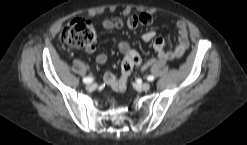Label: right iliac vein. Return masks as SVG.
<instances>
[{"label": "right iliac vein", "instance_id": "obj_1", "mask_svg": "<svg viewBox=\"0 0 247 145\" xmlns=\"http://www.w3.org/2000/svg\"><path fill=\"white\" fill-rule=\"evenodd\" d=\"M96 87H97V85L94 84V83H90V84H87V85H86V89H87L88 91L95 90Z\"/></svg>", "mask_w": 247, "mask_h": 145}]
</instances>
